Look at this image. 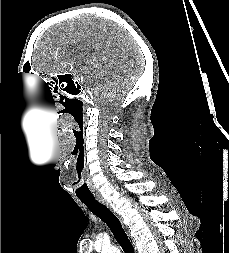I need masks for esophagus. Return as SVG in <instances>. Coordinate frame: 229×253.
I'll return each instance as SVG.
<instances>
[{"mask_svg":"<svg viewBox=\"0 0 229 253\" xmlns=\"http://www.w3.org/2000/svg\"><path fill=\"white\" fill-rule=\"evenodd\" d=\"M96 199H97L100 203L104 204L108 209L112 210V207H111V205L109 204V202L106 201L102 196L97 195V196H96Z\"/></svg>","mask_w":229,"mask_h":253,"instance_id":"obj_1","label":"esophagus"}]
</instances>
